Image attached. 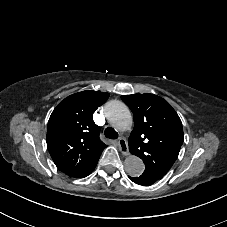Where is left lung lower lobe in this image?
I'll return each mask as SVG.
<instances>
[{"mask_svg": "<svg viewBox=\"0 0 227 227\" xmlns=\"http://www.w3.org/2000/svg\"><path fill=\"white\" fill-rule=\"evenodd\" d=\"M129 179L139 185H151L162 178L148 172H143V174L140 177L134 178L129 176Z\"/></svg>", "mask_w": 227, "mask_h": 227, "instance_id": "obj_1", "label": "left lung lower lobe"}]
</instances>
